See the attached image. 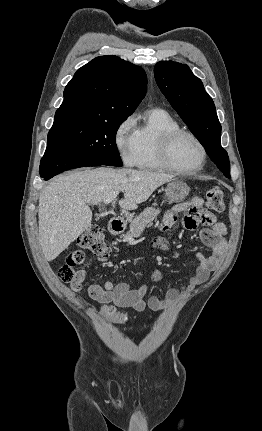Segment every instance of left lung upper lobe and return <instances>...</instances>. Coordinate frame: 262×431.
<instances>
[{"instance_id":"left-lung-upper-lobe-1","label":"left lung upper lobe","mask_w":262,"mask_h":431,"mask_svg":"<svg viewBox=\"0 0 262 431\" xmlns=\"http://www.w3.org/2000/svg\"><path fill=\"white\" fill-rule=\"evenodd\" d=\"M158 87L205 148L211 160L230 177L228 154L221 146V125L212 98L187 65L162 61L155 65Z\"/></svg>"}]
</instances>
